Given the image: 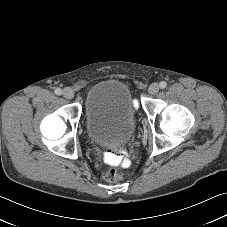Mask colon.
<instances>
[{
	"instance_id": "5ec220e1",
	"label": "colon",
	"mask_w": 227,
	"mask_h": 227,
	"mask_svg": "<svg viewBox=\"0 0 227 227\" xmlns=\"http://www.w3.org/2000/svg\"><path fill=\"white\" fill-rule=\"evenodd\" d=\"M121 155L117 152H108L106 155V161L109 164L115 165L121 161ZM103 177L105 181L109 183H115L119 180H121L122 176L116 169H108L104 172Z\"/></svg>"
}]
</instances>
